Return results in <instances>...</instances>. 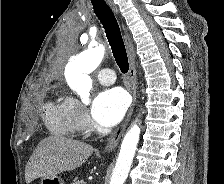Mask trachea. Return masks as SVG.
I'll return each mask as SVG.
<instances>
[{
  "instance_id": "obj_1",
  "label": "trachea",
  "mask_w": 224,
  "mask_h": 184,
  "mask_svg": "<svg viewBox=\"0 0 224 184\" xmlns=\"http://www.w3.org/2000/svg\"><path fill=\"white\" fill-rule=\"evenodd\" d=\"M94 12L105 29L106 37L111 46L115 61L122 73L129 69L128 57L118 22L104 0H91Z\"/></svg>"
}]
</instances>
